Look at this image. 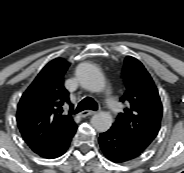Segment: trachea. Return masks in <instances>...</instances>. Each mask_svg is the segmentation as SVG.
Here are the masks:
<instances>
[{"label": "trachea", "mask_w": 184, "mask_h": 173, "mask_svg": "<svg viewBox=\"0 0 184 173\" xmlns=\"http://www.w3.org/2000/svg\"><path fill=\"white\" fill-rule=\"evenodd\" d=\"M97 110L98 109V104L97 102L92 99L91 97H86L84 98L81 102H79L76 110H75V113H79L81 111H84V110Z\"/></svg>", "instance_id": "trachea-1"}]
</instances>
